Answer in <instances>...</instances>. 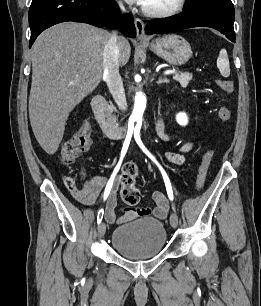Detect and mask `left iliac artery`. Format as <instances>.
<instances>
[{
	"label": "left iliac artery",
	"instance_id": "left-iliac-artery-1",
	"mask_svg": "<svg viewBox=\"0 0 261 306\" xmlns=\"http://www.w3.org/2000/svg\"><path fill=\"white\" fill-rule=\"evenodd\" d=\"M135 140L137 142V144L139 145V147L142 149V151L149 157L151 158L159 167L161 173H162V176H163V179H164V182H165V185H166V190H167V193H168V196H169V199L170 200H173V191H172V187H171V183H170V180L166 174V172L163 170V168L158 164V162L156 161V159L151 155V153L145 148V146L143 145L141 139H140V136L138 134H135Z\"/></svg>",
	"mask_w": 261,
	"mask_h": 306
}]
</instances>
